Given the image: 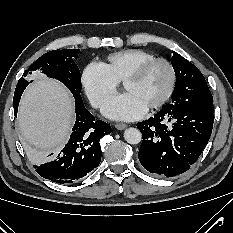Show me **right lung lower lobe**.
<instances>
[{"label":"right lung lower lobe","mask_w":233,"mask_h":233,"mask_svg":"<svg viewBox=\"0 0 233 233\" xmlns=\"http://www.w3.org/2000/svg\"><path fill=\"white\" fill-rule=\"evenodd\" d=\"M21 95L22 93H14L15 115ZM75 105L76 121L67 144L56 154L48 155L52 161L34 166L39 175L53 182L71 184L88 176L101 160L100 139L111 133L110 125L102 120H95L82 101L75 100Z\"/></svg>","instance_id":"1"}]
</instances>
